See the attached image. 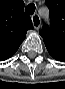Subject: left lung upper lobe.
Segmentation results:
<instances>
[{"instance_id": "obj_1", "label": "left lung upper lobe", "mask_w": 65, "mask_h": 89, "mask_svg": "<svg viewBox=\"0 0 65 89\" xmlns=\"http://www.w3.org/2000/svg\"><path fill=\"white\" fill-rule=\"evenodd\" d=\"M50 10V25H43V39L65 45V0H45Z\"/></svg>"}]
</instances>
